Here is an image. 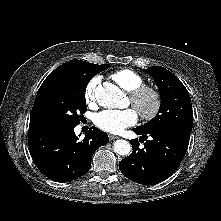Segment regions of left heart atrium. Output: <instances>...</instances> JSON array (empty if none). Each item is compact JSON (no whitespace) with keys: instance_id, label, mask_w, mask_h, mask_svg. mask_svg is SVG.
<instances>
[{"instance_id":"obj_1","label":"left heart atrium","mask_w":221,"mask_h":221,"mask_svg":"<svg viewBox=\"0 0 221 221\" xmlns=\"http://www.w3.org/2000/svg\"><path fill=\"white\" fill-rule=\"evenodd\" d=\"M138 120V113L134 109L112 110L107 109L97 113L94 124L101 130L118 134L125 128L133 126Z\"/></svg>"}]
</instances>
